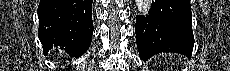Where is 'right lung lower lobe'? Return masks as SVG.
<instances>
[{"label": "right lung lower lobe", "instance_id": "1", "mask_svg": "<svg viewBox=\"0 0 230 71\" xmlns=\"http://www.w3.org/2000/svg\"><path fill=\"white\" fill-rule=\"evenodd\" d=\"M93 0H40L38 38L46 54L60 47L71 57L83 55L93 35Z\"/></svg>", "mask_w": 230, "mask_h": 71}]
</instances>
